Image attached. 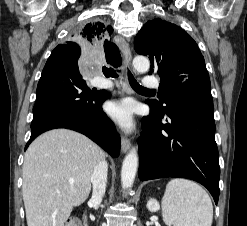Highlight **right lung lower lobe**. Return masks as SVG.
I'll use <instances>...</instances> for the list:
<instances>
[{
	"mask_svg": "<svg viewBox=\"0 0 247 226\" xmlns=\"http://www.w3.org/2000/svg\"><path fill=\"white\" fill-rule=\"evenodd\" d=\"M80 55V47L67 43L52 51L37 86L31 137L25 150L41 133L67 128L86 135L111 156H119L120 138L102 109L105 97L82 79L77 65Z\"/></svg>",
	"mask_w": 247,
	"mask_h": 226,
	"instance_id": "98d812e1",
	"label": "right lung lower lobe"
}]
</instances>
